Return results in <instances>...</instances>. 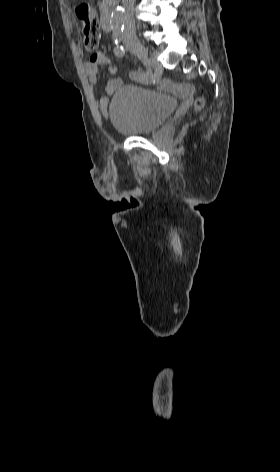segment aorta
Instances as JSON below:
<instances>
[{
	"label": "aorta",
	"mask_w": 280,
	"mask_h": 472,
	"mask_svg": "<svg viewBox=\"0 0 280 472\" xmlns=\"http://www.w3.org/2000/svg\"><path fill=\"white\" fill-rule=\"evenodd\" d=\"M125 20H126V13H125L124 8L117 7L112 13V16L110 19L112 28L120 29L121 27H123Z\"/></svg>",
	"instance_id": "762f6f07"
}]
</instances>
